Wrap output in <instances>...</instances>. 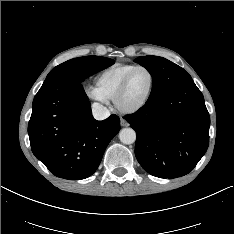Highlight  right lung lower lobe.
I'll return each mask as SVG.
<instances>
[{"instance_id": "98d812e1", "label": "right lung lower lobe", "mask_w": 234, "mask_h": 234, "mask_svg": "<svg viewBox=\"0 0 234 234\" xmlns=\"http://www.w3.org/2000/svg\"><path fill=\"white\" fill-rule=\"evenodd\" d=\"M119 130L116 115L103 121L93 118L81 82L70 73L44 81L28 125L35 157L55 176L70 180L85 179L96 171Z\"/></svg>"}]
</instances>
